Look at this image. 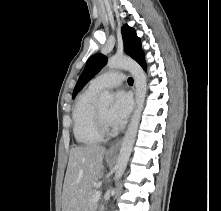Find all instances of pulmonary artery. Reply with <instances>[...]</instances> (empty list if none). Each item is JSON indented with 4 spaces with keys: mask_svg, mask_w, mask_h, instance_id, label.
<instances>
[{
    "mask_svg": "<svg viewBox=\"0 0 221 211\" xmlns=\"http://www.w3.org/2000/svg\"><path fill=\"white\" fill-rule=\"evenodd\" d=\"M125 81L123 73L118 71L106 72L98 75L91 81V85L98 89L113 88L120 86Z\"/></svg>",
    "mask_w": 221,
    "mask_h": 211,
    "instance_id": "pulmonary-artery-1",
    "label": "pulmonary artery"
}]
</instances>
